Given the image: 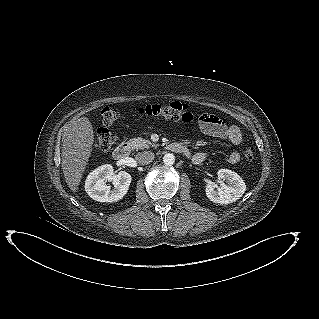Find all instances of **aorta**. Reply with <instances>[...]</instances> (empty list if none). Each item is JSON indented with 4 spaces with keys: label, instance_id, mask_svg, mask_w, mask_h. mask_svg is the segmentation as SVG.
Segmentation results:
<instances>
[{
    "label": "aorta",
    "instance_id": "1",
    "mask_svg": "<svg viewBox=\"0 0 319 319\" xmlns=\"http://www.w3.org/2000/svg\"><path fill=\"white\" fill-rule=\"evenodd\" d=\"M163 162L167 166H171L175 163V156L172 153H167L163 157Z\"/></svg>",
    "mask_w": 319,
    "mask_h": 319
}]
</instances>
